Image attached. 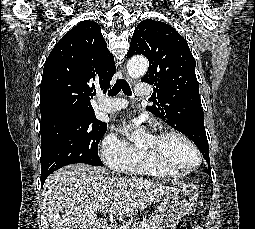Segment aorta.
Here are the masks:
<instances>
[{
  "label": "aorta",
  "mask_w": 255,
  "mask_h": 229,
  "mask_svg": "<svg viewBox=\"0 0 255 229\" xmlns=\"http://www.w3.org/2000/svg\"><path fill=\"white\" fill-rule=\"evenodd\" d=\"M148 69V61L144 57H133L129 60L127 64V72L131 78H140L145 75ZM142 136L141 130H136L131 135L130 139L132 141H137Z\"/></svg>",
  "instance_id": "obj_1"
}]
</instances>
